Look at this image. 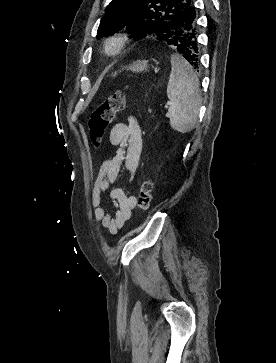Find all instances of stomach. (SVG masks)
<instances>
[{
	"instance_id": "0dacf381",
	"label": "stomach",
	"mask_w": 276,
	"mask_h": 363,
	"mask_svg": "<svg viewBox=\"0 0 276 363\" xmlns=\"http://www.w3.org/2000/svg\"><path fill=\"white\" fill-rule=\"evenodd\" d=\"M126 70H130L135 73L147 71L149 68L148 61H135L131 65L125 67Z\"/></svg>"
}]
</instances>
